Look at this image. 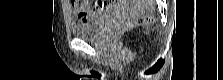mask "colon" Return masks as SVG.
Instances as JSON below:
<instances>
[{
    "instance_id": "colon-1",
    "label": "colon",
    "mask_w": 223,
    "mask_h": 80,
    "mask_svg": "<svg viewBox=\"0 0 223 80\" xmlns=\"http://www.w3.org/2000/svg\"><path fill=\"white\" fill-rule=\"evenodd\" d=\"M72 1L78 2V3H84V2H79L77 0H72ZM152 21H153V17L152 16H146V17H143V18L139 19V23L140 24H144V25L150 24Z\"/></svg>"
}]
</instances>
